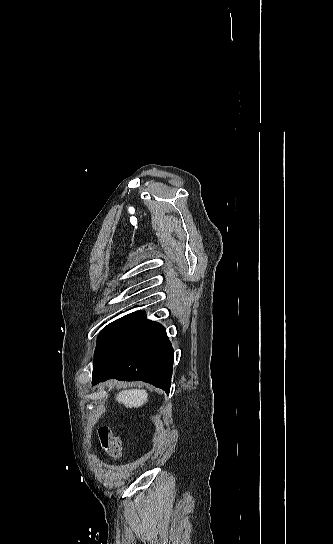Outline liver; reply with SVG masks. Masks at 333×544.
Segmentation results:
<instances>
[{"label": "liver", "mask_w": 333, "mask_h": 544, "mask_svg": "<svg viewBox=\"0 0 333 544\" xmlns=\"http://www.w3.org/2000/svg\"><path fill=\"white\" fill-rule=\"evenodd\" d=\"M116 400L127 408H138L148 401V394L145 390L129 389L118 393Z\"/></svg>", "instance_id": "1"}]
</instances>
